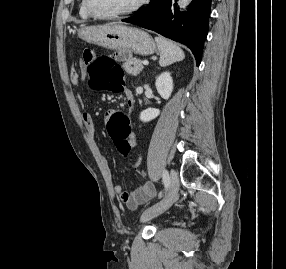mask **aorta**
<instances>
[{
  "label": "aorta",
  "mask_w": 286,
  "mask_h": 269,
  "mask_svg": "<svg viewBox=\"0 0 286 269\" xmlns=\"http://www.w3.org/2000/svg\"><path fill=\"white\" fill-rule=\"evenodd\" d=\"M192 0H180V8L185 9Z\"/></svg>",
  "instance_id": "obj_1"
}]
</instances>
